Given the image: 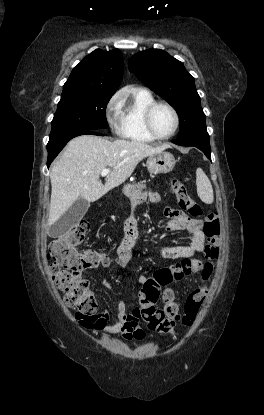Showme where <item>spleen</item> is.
<instances>
[{
  "label": "spleen",
  "instance_id": "3e777b00",
  "mask_svg": "<svg viewBox=\"0 0 264 415\" xmlns=\"http://www.w3.org/2000/svg\"><path fill=\"white\" fill-rule=\"evenodd\" d=\"M196 185L200 199L206 204H211L214 200L213 188L209 178L201 168L196 170Z\"/></svg>",
  "mask_w": 264,
  "mask_h": 415
}]
</instances>
